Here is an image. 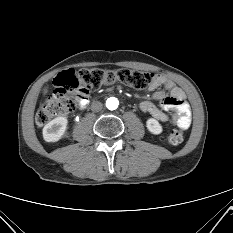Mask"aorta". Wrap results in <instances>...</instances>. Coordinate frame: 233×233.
I'll use <instances>...</instances> for the list:
<instances>
[{"label": "aorta", "mask_w": 233, "mask_h": 233, "mask_svg": "<svg viewBox=\"0 0 233 233\" xmlns=\"http://www.w3.org/2000/svg\"><path fill=\"white\" fill-rule=\"evenodd\" d=\"M119 100L115 97H110L106 100V107L109 110H115L118 108Z\"/></svg>", "instance_id": "762f6f07"}]
</instances>
